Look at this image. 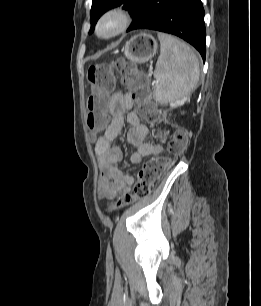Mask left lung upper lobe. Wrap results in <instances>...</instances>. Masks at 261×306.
I'll return each mask as SVG.
<instances>
[{
	"label": "left lung upper lobe",
	"mask_w": 261,
	"mask_h": 306,
	"mask_svg": "<svg viewBox=\"0 0 261 306\" xmlns=\"http://www.w3.org/2000/svg\"><path fill=\"white\" fill-rule=\"evenodd\" d=\"M144 2L145 0H93L90 11L91 28L89 34L94 31L97 20L107 10L122 5L123 9L128 10V12L134 18Z\"/></svg>",
	"instance_id": "1"
}]
</instances>
